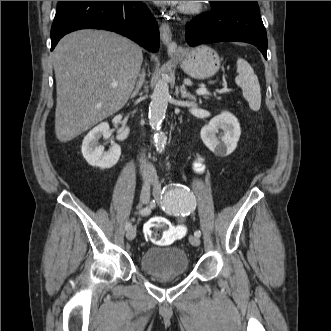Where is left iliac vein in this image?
Returning a JSON list of instances; mask_svg holds the SVG:
<instances>
[{"label": "left iliac vein", "mask_w": 331, "mask_h": 331, "mask_svg": "<svg viewBox=\"0 0 331 331\" xmlns=\"http://www.w3.org/2000/svg\"><path fill=\"white\" fill-rule=\"evenodd\" d=\"M154 190L160 191L161 190V185L158 181L154 182ZM189 242L193 246H199L200 245V238L195 235H190L189 236Z\"/></svg>", "instance_id": "4c4485c4"}]
</instances>
